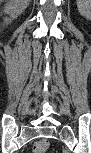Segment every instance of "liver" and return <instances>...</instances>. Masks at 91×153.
<instances>
[{"mask_svg":"<svg viewBox=\"0 0 91 153\" xmlns=\"http://www.w3.org/2000/svg\"><path fill=\"white\" fill-rule=\"evenodd\" d=\"M20 1H21V3H22L23 5H27L28 2H29V1H27V0H20Z\"/></svg>","mask_w":91,"mask_h":153,"instance_id":"obj_1","label":"liver"}]
</instances>
